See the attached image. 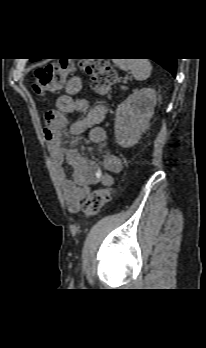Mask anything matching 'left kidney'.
Returning <instances> with one entry per match:
<instances>
[{
    "label": "left kidney",
    "mask_w": 206,
    "mask_h": 348,
    "mask_svg": "<svg viewBox=\"0 0 206 348\" xmlns=\"http://www.w3.org/2000/svg\"><path fill=\"white\" fill-rule=\"evenodd\" d=\"M157 95L154 89L134 90L116 110L115 137L122 148L138 143L142 133L149 128L154 114Z\"/></svg>",
    "instance_id": "left-kidney-1"
}]
</instances>
